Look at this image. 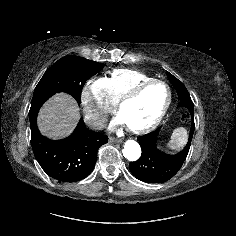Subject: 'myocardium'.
Returning a JSON list of instances; mask_svg holds the SVG:
<instances>
[{"label": "myocardium", "instance_id": "f54148a6", "mask_svg": "<svg viewBox=\"0 0 236 236\" xmlns=\"http://www.w3.org/2000/svg\"><path fill=\"white\" fill-rule=\"evenodd\" d=\"M154 84H162L166 87V89L168 91V99H167L165 105L163 106V108L161 109V111L159 112L158 116L151 123H149L145 126H141V127H134V126L127 125L128 130L131 131L132 133H135V134L147 133V132L155 129L161 123V121L165 117L167 111L169 110L171 103H172V99H173L172 89H171L170 85L164 80L150 79L148 81H145V82H142V83L136 85L127 94L122 96L116 103L117 110H118L119 114H121L122 108L126 104L137 99L146 88H148L149 86L154 85Z\"/></svg>", "mask_w": 236, "mask_h": 236}]
</instances>
